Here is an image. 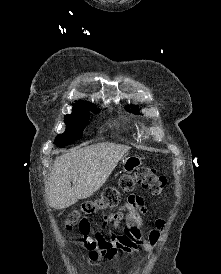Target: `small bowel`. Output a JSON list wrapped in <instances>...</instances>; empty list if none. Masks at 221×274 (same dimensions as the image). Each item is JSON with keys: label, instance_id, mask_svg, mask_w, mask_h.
Here are the masks:
<instances>
[{"label": "small bowel", "instance_id": "small-bowel-1", "mask_svg": "<svg viewBox=\"0 0 221 274\" xmlns=\"http://www.w3.org/2000/svg\"><path fill=\"white\" fill-rule=\"evenodd\" d=\"M147 212L144 199L139 195H130L119 211L102 214L99 223L83 217L78 227L82 245L90 259L109 262L118 257L120 252L135 258L152 252L164 228V221L157 219L155 229L147 238L142 237V215Z\"/></svg>", "mask_w": 221, "mask_h": 274}]
</instances>
